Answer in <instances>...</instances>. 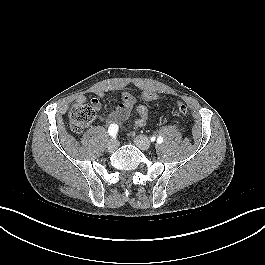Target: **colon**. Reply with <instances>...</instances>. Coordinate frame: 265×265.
I'll list each match as a JSON object with an SVG mask.
<instances>
[{"label": "colon", "mask_w": 265, "mask_h": 265, "mask_svg": "<svg viewBox=\"0 0 265 265\" xmlns=\"http://www.w3.org/2000/svg\"><path fill=\"white\" fill-rule=\"evenodd\" d=\"M142 100L146 102L155 101L158 95L150 90L142 93ZM177 109L180 114L185 115L188 112V107L182 102L177 103ZM97 106L91 101L89 103H80L72 107L69 113L70 128L75 133H81L94 119Z\"/></svg>", "instance_id": "1"}]
</instances>
